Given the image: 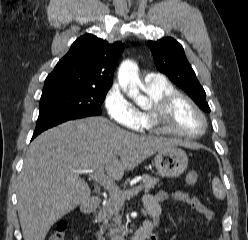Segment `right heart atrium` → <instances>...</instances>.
Returning a JSON list of instances; mask_svg holds the SVG:
<instances>
[{
	"instance_id": "right-heart-atrium-1",
	"label": "right heart atrium",
	"mask_w": 248,
	"mask_h": 240,
	"mask_svg": "<svg viewBox=\"0 0 248 240\" xmlns=\"http://www.w3.org/2000/svg\"><path fill=\"white\" fill-rule=\"evenodd\" d=\"M104 104L112 120L129 130L140 129V115L117 83H114L107 91Z\"/></svg>"
}]
</instances>
